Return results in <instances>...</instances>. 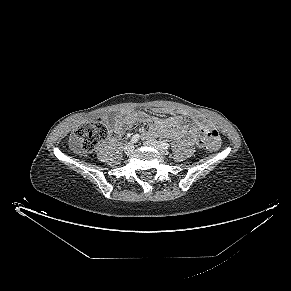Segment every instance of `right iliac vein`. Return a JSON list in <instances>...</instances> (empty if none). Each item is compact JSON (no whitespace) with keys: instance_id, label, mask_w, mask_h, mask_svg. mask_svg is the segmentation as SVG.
I'll return each mask as SVG.
<instances>
[{"instance_id":"obj_1","label":"right iliac vein","mask_w":291,"mask_h":291,"mask_svg":"<svg viewBox=\"0 0 291 291\" xmlns=\"http://www.w3.org/2000/svg\"><path fill=\"white\" fill-rule=\"evenodd\" d=\"M133 150H134V145H133V143H127V144L124 146V152H125L126 154H130Z\"/></svg>"}]
</instances>
